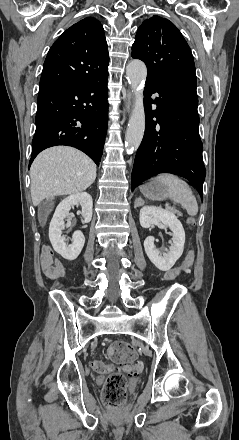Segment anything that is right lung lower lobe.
Wrapping results in <instances>:
<instances>
[{
	"label": "right lung lower lobe",
	"mask_w": 239,
	"mask_h": 440,
	"mask_svg": "<svg viewBox=\"0 0 239 440\" xmlns=\"http://www.w3.org/2000/svg\"><path fill=\"white\" fill-rule=\"evenodd\" d=\"M108 73L89 81L40 87L32 157L56 145L86 153L99 166L108 122Z\"/></svg>",
	"instance_id": "right-lung-lower-lobe-1"
}]
</instances>
